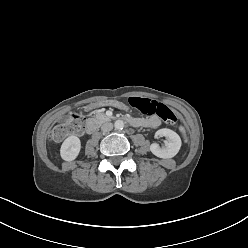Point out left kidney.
<instances>
[{"label":"left kidney","instance_id":"left-kidney-1","mask_svg":"<svg viewBox=\"0 0 248 248\" xmlns=\"http://www.w3.org/2000/svg\"><path fill=\"white\" fill-rule=\"evenodd\" d=\"M155 137H166L167 141L165 142L164 147H160L156 143L150 145V151L157 157L167 159L174 157L181 148V138L173 130L163 128L159 129L155 133Z\"/></svg>","mask_w":248,"mask_h":248}]
</instances>
